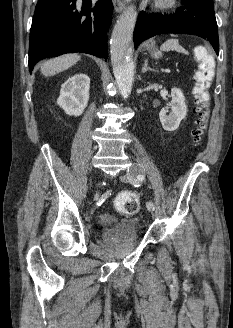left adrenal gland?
Masks as SVG:
<instances>
[{"mask_svg":"<svg viewBox=\"0 0 233 328\" xmlns=\"http://www.w3.org/2000/svg\"><path fill=\"white\" fill-rule=\"evenodd\" d=\"M147 71L157 72L156 69H153V68H151V67H148V60L146 59V60L144 61V66H143V68H142V72L145 73V72H147Z\"/></svg>","mask_w":233,"mask_h":328,"instance_id":"left-adrenal-gland-1","label":"left adrenal gland"}]
</instances>
